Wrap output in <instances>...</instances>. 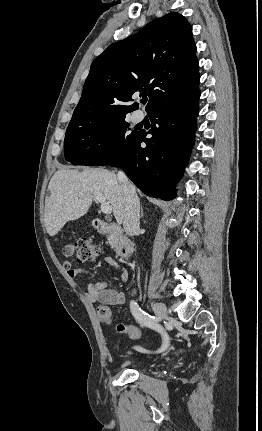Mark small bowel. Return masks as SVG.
I'll return each instance as SVG.
<instances>
[{
	"mask_svg": "<svg viewBox=\"0 0 262 431\" xmlns=\"http://www.w3.org/2000/svg\"><path fill=\"white\" fill-rule=\"evenodd\" d=\"M106 262L111 266L115 267L120 272V277L123 283H126L128 281L129 274L127 270L120 267L115 259L106 258ZM63 266L67 276L71 279H76L81 275L85 274V271L83 269L74 267L69 260H64ZM107 287L108 282L106 281L90 280L86 288V299L91 303H98L99 313L103 310H106L108 315L112 318L110 307L122 305L125 302V295L120 290L109 289ZM167 340L169 341L168 335Z\"/></svg>",
	"mask_w": 262,
	"mask_h": 431,
	"instance_id": "obj_1",
	"label": "small bowel"
}]
</instances>
